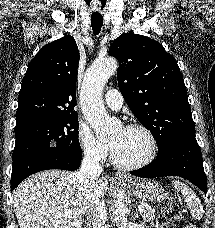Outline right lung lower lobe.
Returning <instances> with one entry per match:
<instances>
[{
	"label": "right lung lower lobe",
	"mask_w": 215,
	"mask_h": 228,
	"mask_svg": "<svg viewBox=\"0 0 215 228\" xmlns=\"http://www.w3.org/2000/svg\"><path fill=\"white\" fill-rule=\"evenodd\" d=\"M81 153L43 149L22 155L13 160L11 191L26 177L47 169L76 170L81 163Z\"/></svg>",
	"instance_id": "1"
}]
</instances>
